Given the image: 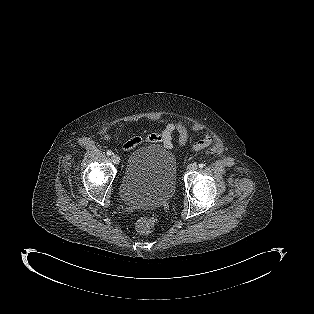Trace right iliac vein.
<instances>
[{"label":"right iliac vein","instance_id":"63e3f726","mask_svg":"<svg viewBox=\"0 0 314 314\" xmlns=\"http://www.w3.org/2000/svg\"><path fill=\"white\" fill-rule=\"evenodd\" d=\"M111 159L114 164H119L120 162V157L118 155H112Z\"/></svg>","mask_w":314,"mask_h":314}]
</instances>
